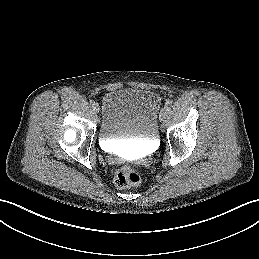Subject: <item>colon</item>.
I'll use <instances>...</instances> for the list:
<instances>
[{"instance_id": "obj_1", "label": "colon", "mask_w": 259, "mask_h": 259, "mask_svg": "<svg viewBox=\"0 0 259 259\" xmlns=\"http://www.w3.org/2000/svg\"><path fill=\"white\" fill-rule=\"evenodd\" d=\"M113 180L118 188H130L139 184L140 175L134 167L123 165L115 170Z\"/></svg>"}]
</instances>
